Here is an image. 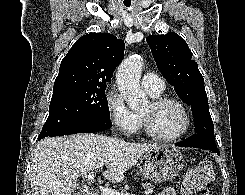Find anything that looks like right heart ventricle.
I'll list each match as a JSON object with an SVG mask.
<instances>
[{
    "instance_id": "1",
    "label": "right heart ventricle",
    "mask_w": 245,
    "mask_h": 195,
    "mask_svg": "<svg viewBox=\"0 0 245 195\" xmlns=\"http://www.w3.org/2000/svg\"><path fill=\"white\" fill-rule=\"evenodd\" d=\"M149 93V92H148ZM150 94V96H152L153 98H156V97H159L160 96V94H152V93H149ZM137 116H138V119H139V125H138V127L141 125V117L137 114Z\"/></svg>"
}]
</instances>
